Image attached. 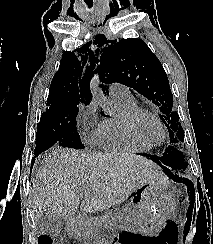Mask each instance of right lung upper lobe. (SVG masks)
I'll use <instances>...</instances> for the list:
<instances>
[{
	"label": "right lung upper lobe",
	"instance_id": "right-lung-upper-lobe-1",
	"mask_svg": "<svg viewBox=\"0 0 213 244\" xmlns=\"http://www.w3.org/2000/svg\"><path fill=\"white\" fill-rule=\"evenodd\" d=\"M93 69L94 60H79L74 52H65L52 79L47 105H87L92 97L89 84Z\"/></svg>",
	"mask_w": 213,
	"mask_h": 244
}]
</instances>
